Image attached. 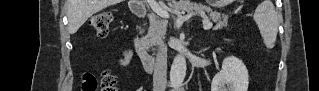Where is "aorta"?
Here are the masks:
<instances>
[{
    "label": "aorta",
    "mask_w": 319,
    "mask_h": 91,
    "mask_svg": "<svg viewBox=\"0 0 319 91\" xmlns=\"http://www.w3.org/2000/svg\"><path fill=\"white\" fill-rule=\"evenodd\" d=\"M186 59L183 55L178 54L172 63L170 71V83L173 88L179 87L186 75Z\"/></svg>",
    "instance_id": "aorta-1"
}]
</instances>
